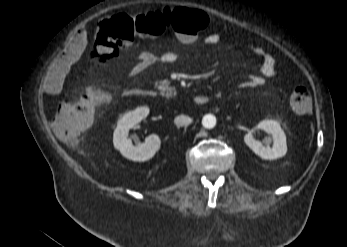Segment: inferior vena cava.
Returning a JSON list of instances; mask_svg holds the SVG:
<instances>
[{
	"instance_id": "inferior-vena-cava-1",
	"label": "inferior vena cava",
	"mask_w": 347,
	"mask_h": 247,
	"mask_svg": "<svg viewBox=\"0 0 347 247\" xmlns=\"http://www.w3.org/2000/svg\"><path fill=\"white\" fill-rule=\"evenodd\" d=\"M174 123L177 126H188L192 123V119L189 116L179 115L175 117Z\"/></svg>"
}]
</instances>
